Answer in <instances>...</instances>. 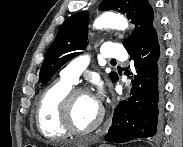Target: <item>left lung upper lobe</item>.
Segmentation results:
<instances>
[{
  "label": "left lung upper lobe",
  "instance_id": "obj_1",
  "mask_svg": "<svg viewBox=\"0 0 183 147\" xmlns=\"http://www.w3.org/2000/svg\"><path fill=\"white\" fill-rule=\"evenodd\" d=\"M100 9L126 14L131 23L135 24L132 34L123 40L126 49L144 39L158 26V19L154 16L148 0H104ZM87 25L88 12L86 11L70 16L62 24L46 53L40 70V83H46L63 64L79 55L80 50L85 49ZM110 77L115 80L117 73H110Z\"/></svg>",
  "mask_w": 183,
  "mask_h": 147
}]
</instances>
